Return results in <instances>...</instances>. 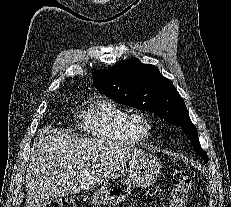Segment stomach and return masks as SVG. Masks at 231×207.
Wrapping results in <instances>:
<instances>
[{
    "instance_id": "obj_1",
    "label": "stomach",
    "mask_w": 231,
    "mask_h": 207,
    "mask_svg": "<svg viewBox=\"0 0 231 207\" xmlns=\"http://www.w3.org/2000/svg\"><path fill=\"white\" fill-rule=\"evenodd\" d=\"M161 169L162 164L156 156L138 154L129 160L127 173L117 172L105 181L101 189L92 195L91 204L94 207L119 205L130 196L133 188L153 184Z\"/></svg>"
}]
</instances>
